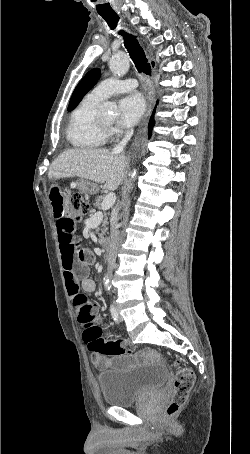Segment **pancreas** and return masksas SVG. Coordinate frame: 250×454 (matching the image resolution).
<instances>
[{
    "label": "pancreas",
    "instance_id": "cf45deb5",
    "mask_svg": "<svg viewBox=\"0 0 250 454\" xmlns=\"http://www.w3.org/2000/svg\"><path fill=\"white\" fill-rule=\"evenodd\" d=\"M103 196H99L96 198L95 200V207L96 208H100L101 207V201L103 200ZM107 225H108V218H107V214L105 213L104 214V220H103V229H101V234H100V237H103L105 235V233L107 232Z\"/></svg>",
    "mask_w": 250,
    "mask_h": 454
}]
</instances>
